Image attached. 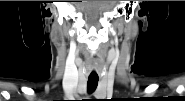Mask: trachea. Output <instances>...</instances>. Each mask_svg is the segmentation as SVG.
<instances>
[{"label":"trachea","mask_w":185,"mask_h":101,"mask_svg":"<svg viewBox=\"0 0 185 101\" xmlns=\"http://www.w3.org/2000/svg\"><path fill=\"white\" fill-rule=\"evenodd\" d=\"M98 81H99V77L96 71L93 70L89 75L88 82H87V90L89 93H93L96 90Z\"/></svg>","instance_id":"3493384b"}]
</instances>
